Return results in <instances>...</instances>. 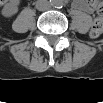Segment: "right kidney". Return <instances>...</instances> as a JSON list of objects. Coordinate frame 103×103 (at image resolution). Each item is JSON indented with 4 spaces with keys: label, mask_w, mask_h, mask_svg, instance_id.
<instances>
[{
    "label": "right kidney",
    "mask_w": 103,
    "mask_h": 103,
    "mask_svg": "<svg viewBox=\"0 0 103 103\" xmlns=\"http://www.w3.org/2000/svg\"><path fill=\"white\" fill-rule=\"evenodd\" d=\"M2 15L4 17H11L18 12V3L16 2H8L4 5L2 9Z\"/></svg>",
    "instance_id": "right-kidney-1"
}]
</instances>
